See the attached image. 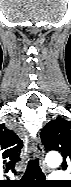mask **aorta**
Returning <instances> with one entry per match:
<instances>
[{"mask_svg": "<svg viewBox=\"0 0 71 187\" xmlns=\"http://www.w3.org/2000/svg\"><path fill=\"white\" fill-rule=\"evenodd\" d=\"M46 163L51 167H57L62 163V157L58 152H50L46 156Z\"/></svg>", "mask_w": 71, "mask_h": 187, "instance_id": "aorta-1", "label": "aorta"}]
</instances>
